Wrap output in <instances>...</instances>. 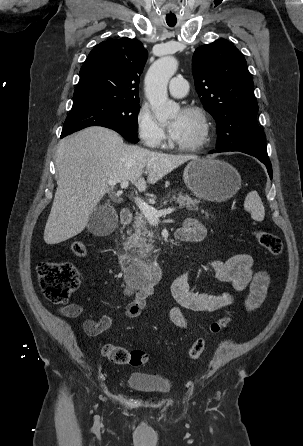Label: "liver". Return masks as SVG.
<instances>
[{"label": "liver", "mask_w": 303, "mask_h": 446, "mask_svg": "<svg viewBox=\"0 0 303 446\" xmlns=\"http://www.w3.org/2000/svg\"><path fill=\"white\" fill-rule=\"evenodd\" d=\"M1 3V2H0ZM194 155H172L127 145L115 131L89 127L60 141L55 164L57 190L44 241L58 244L87 226L89 216L110 189L109 182L130 181L143 192ZM147 173V181L142 177Z\"/></svg>", "instance_id": "obj_1"}]
</instances>
